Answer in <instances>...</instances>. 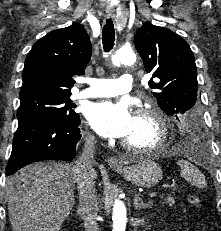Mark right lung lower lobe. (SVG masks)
<instances>
[{
	"mask_svg": "<svg viewBox=\"0 0 221 231\" xmlns=\"http://www.w3.org/2000/svg\"><path fill=\"white\" fill-rule=\"evenodd\" d=\"M80 118L38 114L19 121L6 175L41 160L71 161L80 140Z\"/></svg>",
	"mask_w": 221,
	"mask_h": 231,
	"instance_id": "obj_1",
	"label": "right lung lower lobe"
}]
</instances>
